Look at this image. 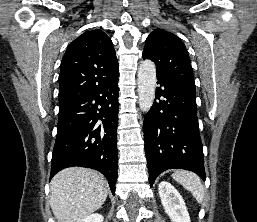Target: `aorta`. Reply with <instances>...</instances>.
I'll use <instances>...</instances> for the list:
<instances>
[{
	"label": "aorta",
	"mask_w": 257,
	"mask_h": 222,
	"mask_svg": "<svg viewBox=\"0 0 257 222\" xmlns=\"http://www.w3.org/2000/svg\"><path fill=\"white\" fill-rule=\"evenodd\" d=\"M138 103L143 112L152 107L156 88V68L151 60H144L138 68Z\"/></svg>",
	"instance_id": "762f6f07"
}]
</instances>
